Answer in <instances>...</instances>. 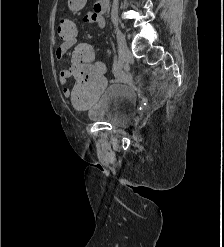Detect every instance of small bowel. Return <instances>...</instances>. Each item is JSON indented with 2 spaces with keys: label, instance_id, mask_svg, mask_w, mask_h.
<instances>
[{
  "label": "small bowel",
  "instance_id": "small-bowel-1",
  "mask_svg": "<svg viewBox=\"0 0 224 247\" xmlns=\"http://www.w3.org/2000/svg\"><path fill=\"white\" fill-rule=\"evenodd\" d=\"M86 0H68V6L70 10L72 11H78L80 10ZM83 21L86 23H93L98 26L99 29H103L105 27V18L102 13L97 12L95 9L88 12L84 17ZM76 44V38L74 39H67L62 40V43L57 47L55 51V56L58 60H61L63 56L67 53L68 50H70L72 47H74ZM70 77V72L68 70H62L59 73V82L61 85H66ZM71 91L69 88L63 89V95L66 98H70Z\"/></svg>",
  "mask_w": 224,
  "mask_h": 247
}]
</instances>
